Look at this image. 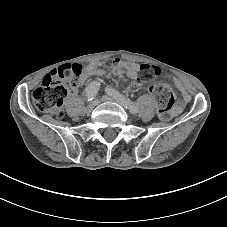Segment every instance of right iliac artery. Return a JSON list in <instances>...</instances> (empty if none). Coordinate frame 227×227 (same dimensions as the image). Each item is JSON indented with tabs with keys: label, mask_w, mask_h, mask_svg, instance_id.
<instances>
[{
	"label": "right iliac artery",
	"mask_w": 227,
	"mask_h": 227,
	"mask_svg": "<svg viewBox=\"0 0 227 227\" xmlns=\"http://www.w3.org/2000/svg\"><path fill=\"white\" fill-rule=\"evenodd\" d=\"M99 88L100 84L98 82H93L85 88V96L88 101H91L96 97Z\"/></svg>",
	"instance_id": "obj_1"
}]
</instances>
